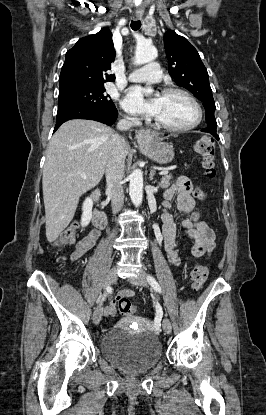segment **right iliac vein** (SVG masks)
Wrapping results in <instances>:
<instances>
[{
    "instance_id": "obj_1",
    "label": "right iliac vein",
    "mask_w": 266,
    "mask_h": 415,
    "mask_svg": "<svg viewBox=\"0 0 266 415\" xmlns=\"http://www.w3.org/2000/svg\"><path fill=\"white\" fill-rule=\"evenodd\" d=\"M117 277H118V272H117V269L114 267L108 272L106 279H105L104 287L107 288L111 284H113L117 280ZM102 313H103L102 307L98 306L93 313V322L95 324H99V322L101 321Z\"/></svg>"
}]
</instances>
